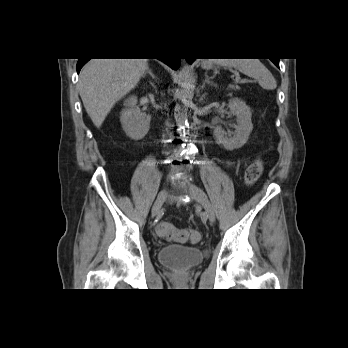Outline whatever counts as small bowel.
Here are the masks:
<instances>
[{"instance_id":"1","label":"small bowel","mask_w":348,"mask_h":348,"mask_svg":"<svg viewBox=\"0 0 348 348\" xmlns=\"http://www.w3.org/2000/svg\"><path fill=\"white\" fill-rule=\"evenodd\" d=\"M228 165H231V163H230V162H228Z\"/></svg>"}]
</instances>
